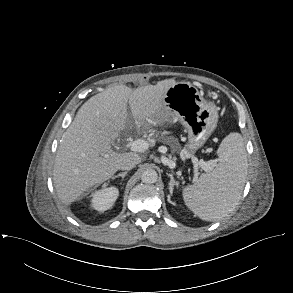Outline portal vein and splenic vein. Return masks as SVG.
Segmentation results:
<instances>
[{
  "mask_svg": "<svg viewBox=\"0 0 293 293\" xmlns=\"http://www.w3.org/2000/svg\"><path fill=\"white\" fill-rule=\"evenodd\" d=\"M149 144L147 141L143 140V139H137L134 140L130 143V149L134 152H144L148 149ZM194 167H195V172L196 175L197 173V167H201L203 170H208L210 169V167L213 165V162H205L203 160H198L197 158L193 157L192 158ZM170 168H174V163H170Z\"/></svg>",
  "mask_w": 293,
  "mask_h": 293,
  "instance_id": "portal-vein-and-splenic-vein-1",
  "label": "portal vein and splenic vein"
}]
</instances>
